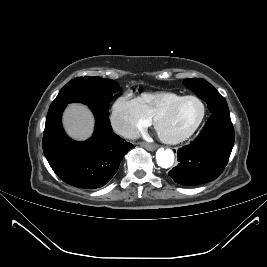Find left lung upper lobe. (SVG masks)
<instances>
[{"label": "left lung upper lobe", "instance_id": "left-lung-upper-lobe-1", "mask_svg": "<svg viewBox=\"0 0 267 267\" xmlns=\"http://www.w3.org/2000/svg\"><path fill=\"white\" fill-rule=\"evenodd\" d=\"M183 83L202 100L206 101L212 113L229 112L228 105L217 90L207 81L200 78L185 79Z\"/></svg>", "mask_w": 267, "mask_h": 267}]
</instances>
